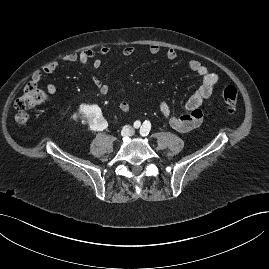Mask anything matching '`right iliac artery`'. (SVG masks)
I'll list each match as a JSON object with an SVG mask.
<instances>
[{"instance_id":"1","label":"right iliac artery","mask_w":269,"mask_h":269,"mask_svg":"<svg viewBox=\"0 0 269 269\" xmlns=\"http://www.w3.org/2000/svg\"><path fill=\"white\" fill-rule=\"evenodd\" d=\"M140 125H141L140 121H135L133 126H134V128H139Z\"/></svg>"}]
</instances>
